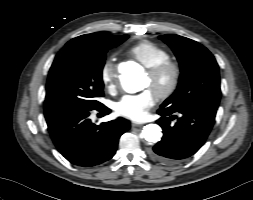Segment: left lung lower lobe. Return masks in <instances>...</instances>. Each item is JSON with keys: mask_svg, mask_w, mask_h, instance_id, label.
<instances>
[{"mask_svg": "<svg viewBox=\"0 0 253 200\" xmlns=\"http://www.w3.org/2000/svg\"><path fill=\"white\" fill-rule=\"evenodd\" d=\"M217 109L210 107H195L171 112L160 108L161 116L157 123L163 129V137L152 149L149 155L154 160L164 164H176L196 153L207 139L215 122ZM179 114L177 122L171 120Z\"/></svg>", "mask_w": 253, "mask_h": 200, "instance_id": "1", "label": "left lung lower lobe"}]
</instances>
